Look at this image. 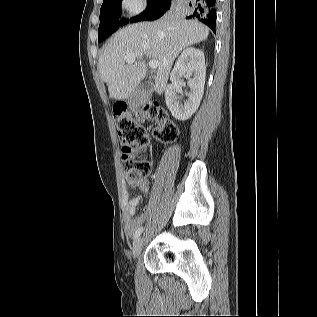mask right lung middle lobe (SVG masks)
<instances>
[{
    "mask_svg": "<svg viewBox=\"0 0 317 317\" xmlns=\"http://www.w3.org/2000/svg\"><path fill=\"white\" fill-rule=\"evenodd\" d=\"M161 0H148L146 10L139 16H136L131 21L143 20L160 2ZM185 0H173L171 8L175 9L181 2ZM120 4L121 0H104L100 9V25L98 30V41L101 42L106 39L110 34L117 30L119 24L123 21H119L120 16Z\"/></svg>",
    "mask_w": 317,
    "mask_h": 317,
    "instance_id": "right-lung-middle-lobe-1",
    "label": "right lung middle lobe"
}]
</instances>
